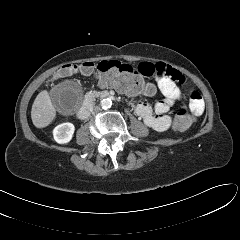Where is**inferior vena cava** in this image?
Wrapping results in <instances>:
<instances>
[{
    "instance_id": "602c4592",
    "label": "inferior vena cava",
    "mask_w": 240,
    "mask_h": 240,
    "mask_svg": "<svg viewBox=\"0 0 240 240\" xmlns=\"http://www.w3.org/2000/svg\"><path fill=\"white\" fill-rule=\"evenodd\" d=\"M99 110H100L99 107H92V106H89V107H88L89 113H98Z\"/></svg>"
}]
</instances>
